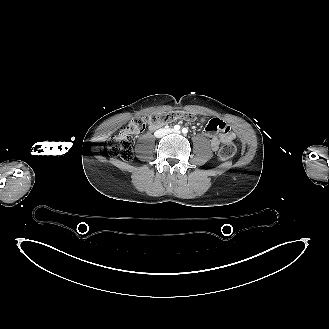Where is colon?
Wrapping results in <instances>:
<instances>
[{
    "mask_svg": "<svg viewBox=\"0 0 329 329\" xmlns=\"http://www.w3.org/2000/svg\"><path fill=\"white\" fill-rule=\"evenodd\" d=\"M199 118L195 113L183 111H167L134 117L125 126H122L116 135L109 138L107 150L114 157L130 161L133 158L131 137L142 133L146 126L158 127L177 120L194 122ZM236 149V144L232 140L224 141L218 150L219 158L222 161L229 160L236 153Z\"/></svg>",
    "mask_w": 329,
    "mask_h": 329,
    "instance_id": "colon-1",
    "label": "colon"
}]
</instances>
